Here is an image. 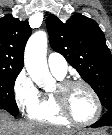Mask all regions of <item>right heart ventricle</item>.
I'll use <instances>...</instances> for the list:
<instances>
[{"label":"right heart ventricle","instance_id":"e07e8e85","mask_svg":"<svg viewBox=\"0 0 112 135\" xmlns=\"http://www.w3.org/2000/svg\"><path fill=\"white\" fill-rule=\"evenodd\" d=\"M56 77L59 80H63L64 78ZM28 115L33 120L49 124L63 125L67 123V120L57 110L52 93L41 94L38 106L31 110Z\"/></svg>","mask_w":112,"mask_h":135}]
</instances>
